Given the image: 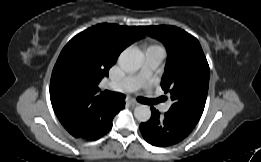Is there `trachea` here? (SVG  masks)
I'll return each mask as SVG.
<instances>
[{"label": "trachea", "instance_id": "3493384b", "mask_svg": "<svg viewBox=\"0 0 261 162\" xmlns=\"http://www.w3.org/2000/svg\"><path fill=\"white\" fill-rule=\"evenodd\" d=\"M105 93L112 99L114 100H123L125 98V96L123 94L120 93H116V92H110V91H105ZM139 102H146V103H152V101H148L145 99H139Z\"/></svg>", "mask_w": 261, "mask_h": 162}]
</instances>
